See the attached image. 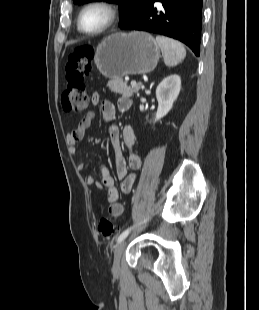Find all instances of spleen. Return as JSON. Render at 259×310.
<instances>
[{"label":"spleen","mask_w":259,"mask_h":310,"mask_svg":"<svg viewBox=\"0 0 259 310\" xmlns=\"http://www.w3.org/2000/svg\"><path fill=\"white\" fill-rule=\"evenodd\" d=\"M156 42L162 51L166 66L173 67L184 60L186 50L180 42L164 36H157Z\"/></svg>","instance_id":"1"}]
</instances>
